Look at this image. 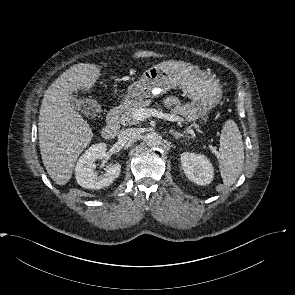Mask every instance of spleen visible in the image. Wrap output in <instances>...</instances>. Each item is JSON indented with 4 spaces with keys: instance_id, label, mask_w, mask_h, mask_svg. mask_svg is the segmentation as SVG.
Masks as SVG:
<instances>
[{
    "instance_id": "obj_1",
    "label": "spleen",
    "mask_w": 295,
    "mask_h": 295,
    "mask_svg": "<svg viewBox=\"0 0 295 295\" xmlns=\"http://www.w3.org/2000/svg\"><path fill=\"white\" fill-rule=\"evenodd\" d=\"M217 158L223 186L230 187L241 173L244 162L242 136L233 120H227L222 128Z\"/></svg>"
}]
</instances>
